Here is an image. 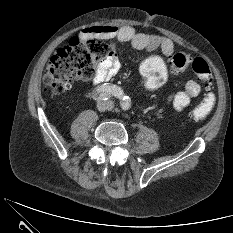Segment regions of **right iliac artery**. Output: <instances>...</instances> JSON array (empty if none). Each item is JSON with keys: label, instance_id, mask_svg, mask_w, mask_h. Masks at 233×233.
I'll use <instances>...</instances> for the list:
<instances>
[{"label": "right iliac artery", "instance_id": "1", "mask_svg": "<svg viewBox=\"0 0 233 233\" xmlns=\"http://www.w3.org/2000/svg\"><path fill=\"white\" fill-rule=\"evenodd\" d=\"M115 96L119 99H122L124 96L123 90H121L120 87L115 85H105L96 90L95 93H93V98L97 101H105L109 99L110 97Z\"/></svg>", "mask_w": 233, "mask_h": 233}]
</instances>
